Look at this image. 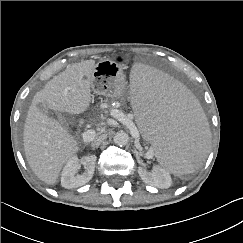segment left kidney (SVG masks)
I'll use <instances>...</instances> for the list:
<instances>
[{
    "instance_id": "5707ae66",
    "label": "left kidney",
    "mask_w": 243,
    "mask_h": 243,
    "mask_svg": "<svg viewBox=\"0 0 243 243\" xmlns=\"http://www.w3.org/2000/svg\"><path fill=\"white\" fill-rule=\"evenodd\" d=\"M138 173L141 179L149 185L158 188H169L171 186L172 179L170 174L160 167H154L152 172H148L143 167H139Z\"/></svg>"
}]
</instances>
